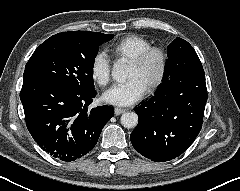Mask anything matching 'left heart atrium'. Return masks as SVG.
Masks as SVG:
<instances>
[{
	"label": "left heart atrium",
	"mask_w": 240,
	"mask_h": 191,
	"mask_svg": "<svg viewBox=\"0 0 240 191\" xmlns=\"http://www.w3.org/2000/svg\"><path fill=\"white\" fill-rule=\"evenodd\" d=\"M146 92V86L136 77L113 85L103 94V100L116 106H127L139 101Z\"/></svg>",
	"instance_id": "1"
}]
</instances>
